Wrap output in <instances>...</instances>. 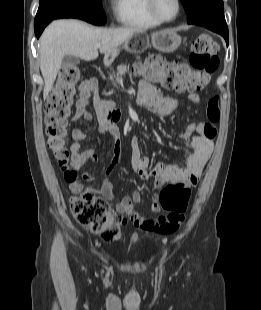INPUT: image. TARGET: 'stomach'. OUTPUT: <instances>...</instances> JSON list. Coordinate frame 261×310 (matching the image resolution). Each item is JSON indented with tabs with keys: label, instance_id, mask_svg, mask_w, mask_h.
<instances>
[{
	"label": "stomach",
	"instance_id": "stomach-1",
	"mask_svg": "<svg viewBox=\"0 0 261 310\" xmlns=\"http://www.w3.org/2000/svg\"><path fill=\"white\" fill-rule=\"evenodd\" d=\"M182 42V38L172 29L155 32L151 35L152 46L161 52H173ZM149 47V37L146 33H135L124 43V48L131 53H141ZM118 50L111 54L113 59Z\"/></svg>",
	"mask_w": 261,
	"mask_h": 310
}]
</instances>
